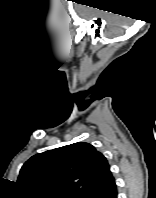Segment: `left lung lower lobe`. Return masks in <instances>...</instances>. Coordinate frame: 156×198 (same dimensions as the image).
<instances>
[{
  "instance_id": "left-lung-lower-lobe-1",
  "label": "left lung lower lobe",
  "mask_w": 156,
  "mask_h": 198,
  "mask_svg": "<svg viewBox=\"0 0 156 198\" xmlns=\"http://www.w3.org/2000/svg\"><path fill=\"white\" fill-rule=\"evenodd\" d=\"M87 198H117L116 183L112 174L101 187L90 193Z\"/></svg>"
}]
</instances>
